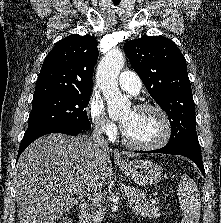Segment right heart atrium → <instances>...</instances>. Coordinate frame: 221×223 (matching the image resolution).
Instances as JSON below:
<instances>
[{
  "mask_svg": "<svg viewBox=\"0 0 221 223\" xmlns=\"http://www.w3.org/2000/svg\"><path fill=\"white\" fill-rule=\"evenodd\" d=\"M86 112L96 133L109 138L116 134L117 128L106 116L104 105L99 99L91 97L88 101Z\"/></svg>",
  "mask_w": 221,
  "mask_h": 223,
  "instance_id": "1",
  "label": "right heart atrium"
}]
</instances>
